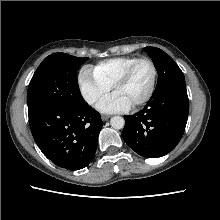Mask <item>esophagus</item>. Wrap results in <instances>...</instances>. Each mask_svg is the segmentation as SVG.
<instances>
[{
    "label": "esophagus",
    "instance_id": "1",
    "mask_svg": "<svg viewBox=\"0 0 220 220\" xmlns=\"http://www.w3.org/2000/svg\"><path fill=\"white\" fill-rule=\"evenodd\" d=\"M101 118L103 121H107L110 118V116L109 115H102Z\"/></svg>",
    "mask_w": 220,
    "mask_h": 220
}]
</instances>
